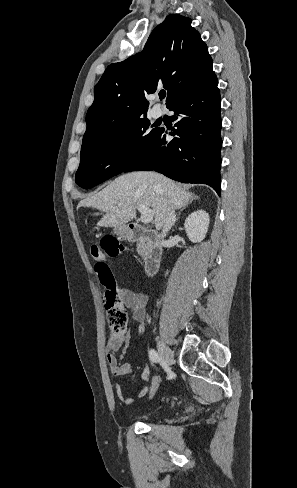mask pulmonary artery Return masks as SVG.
Masks as SVG:
<instances>
[{"instance_id":"obj_1","label":"pulmonary artery","mask_w":297,"mask_h":488,"mask_svg":"<svg viewBox=\"0 0 297 488\" xmlns=\"http://www.w3.org/2000/svg\"><path fill=\"white\" fill-rule=\"evenodd\" d=\"M160 115H161V110H160V108L155 107V108L153 109V116H154V117H159Z\"/></svg>"}]
</instances>
